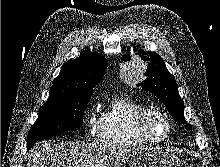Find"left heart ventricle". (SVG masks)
<instances>
[{
  "label": "left heart ventricle",
  "mask_w": 220,
  "mask_h": 167,
  "mask_svg": "<svg viewBox=\"0 0 220 167\" xmlns=\"http://www.w3.org/2000/svg\"><path fill=\"white\" fill-rule=\"evenodd\" d=\"M149 127H150L152 135L155 137L164 136L168 129L166 123L158 117H153L150 120Z\"/></svg>",
  "instance_id": "b2bd125f"
}]
</instances>
